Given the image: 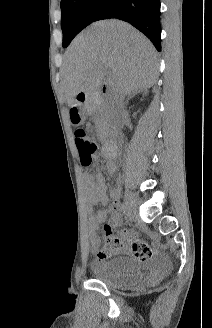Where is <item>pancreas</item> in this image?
Wrapping results in <instances>:
<instances>
[{
    "mask_svg": "<svg viewBox=\"0 0 212 328\" xmlns=\"http://www.w3.org/2000/svg\"><path fill=\"white\" fill-rule=\"evenodd\" d=\"M95 126L99 136L105 138L112 129L111 114L107 105L96 108Z\"/></svg>",
    "mask_w": 212,
    "mask_h": 328,
    "instance_id": "cf45deb5",
    "label": "pancreas"
}]
</instances>
